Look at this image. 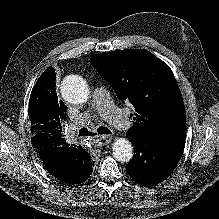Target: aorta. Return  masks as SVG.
<instances>
[{
    "instance_id": "aorta-1",
    "label": "aorta",
    "mask_w": 219,
    "mask_h": 219,
    "mask_svg": "<svg viewBox=\"0 0 219 219\" xmlns=\"http://www.w3.org/2000/svg\"><path fill=\"white\" fill-rule=\"evenodd\" d=\"M89 87L80 77H67L61 84L63 98L72 104H81L89 98ZM113 156L122 163L129 162L133 157V147L126 138H117L113 143Z\"/></svg>"
}]
</instances>
